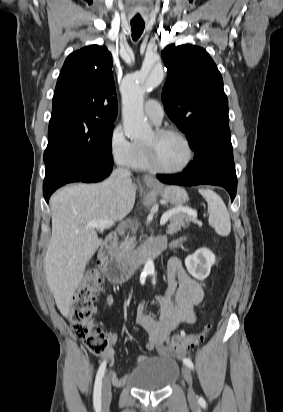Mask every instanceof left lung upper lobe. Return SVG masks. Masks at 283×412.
<instances>
[{"instance_id":"obj_1","label":"left lung upper lobe","mask_w":283,"mask_h":412,"mask_svg":"<svg viewBox=\"0 0 283 412\" xmlns=\"http://www.w3.org/2000/svg\"><path fill=\"white\" fill-rule=\"evenodd\" d=\"M167 81L162 100L170 119L195 151L229 159L237 183L230 138L228 100L223 79L210 55L193 45L167 46L162 51Z\"/></svg>"}]
</instances>
